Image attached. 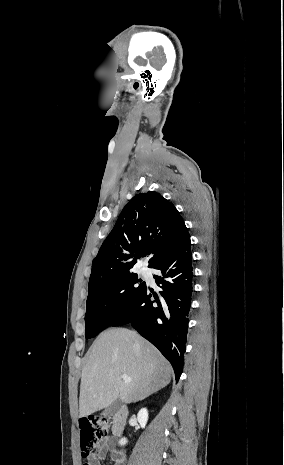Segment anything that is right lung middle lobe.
<instances>
[{
  "instance_id": "dd1d6c3e",
  "label": "right lung middle lobe",
  "mask_w": 284,
  "mask_h": 465,
  "mask_svg": "<svg viewBox=\"0 0 284 465\" xmlns=\"http://www.w3.org/2000/svg\"><path fill=\"white\" fill-rule=\"evenodd\" d=\"M146 283L130 274L89 290L86 302L85 336L92 338L111 323L145 288Z\"/></svg>"
}]
</instances>
